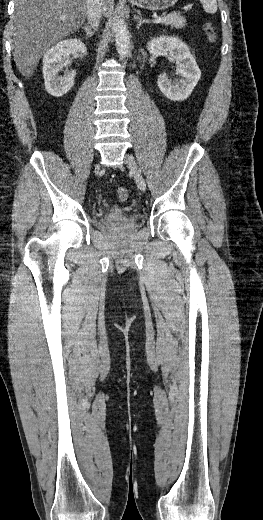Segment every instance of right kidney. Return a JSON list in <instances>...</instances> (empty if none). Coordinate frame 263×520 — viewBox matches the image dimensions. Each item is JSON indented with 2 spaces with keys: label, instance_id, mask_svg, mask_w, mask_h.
Wrapping results in <instances>:
<instances>
[{
  "label": "right kidney",
  "instance_id": "ca27d5eb",
  "mask_svg": "<svg viewBox=\"0 0 263 520\" xmlns=\"http://www.w3.org/2000/svg\"><path fill=\"white\" fill-rule=\"evenodd\" d=\"M87 53L85 44L79 39H67L58 42L43 56V77L46 91L55 97L65 95L73 86L76 71H65L63 76L59 73L63 70V63L74 53Z\"/></svg>",
  "mask_w": 263,
  "mask_h": 520
}]
</instances>
